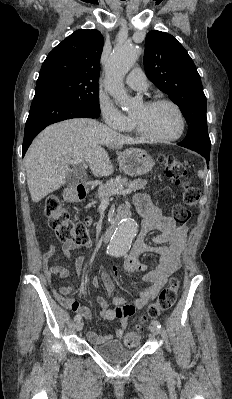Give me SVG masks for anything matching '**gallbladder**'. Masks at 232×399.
I'll use <instances>...</instances> for the list:
<instances>
[{"label": "gallbladder", "mask_w": 232, "mask_h": 399, "mask_svg": "<svg viewBox=\"0 0 232 399\" xmlns=\"http://www.w3.org/2000/svg\"><path fill=\"white\" fill-rule=\"evenodd\" d=\"M71 168L74 170L73 172H67L66 178H65V184L68 186V188H75V186H79V180L77 177L80 176V174L85 173V168L80 167L79 164L73 163L71 165Z\"/></svg>", "instance_id": "gallbladder-1"}]
</instances>
